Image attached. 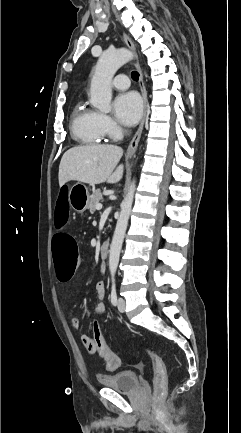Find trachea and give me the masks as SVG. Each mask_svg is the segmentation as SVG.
Wrapping results in <instances>:
<instances>
[{
	"instance_id": "3493384b",
	"label": "trachea",
	"mask_w": 241,
	"mask_h": 433,
	"mask_svg": "<svg viewBox=\"0 0 241 433\" xmlns=\"http://www.w3.org/2000/svg\"><path fill=\"white\" fill-rule=\"evenodd\" d=\"M131 76H132V79L134 81H138V79H139V73L137 71H133L132 74H131Z\"/></svg>"
}]
</instances>
